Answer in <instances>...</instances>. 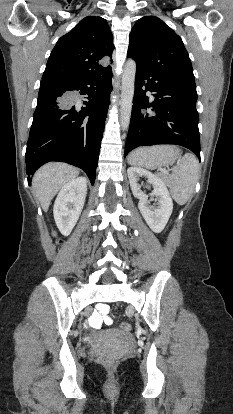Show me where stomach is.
<instances>
[{"label": "stomach", "mask_w": 233, "mask_h": 414, "mask_svg": "<svg viewBox=\"0 0 233 414\" xmlns=\"http://www.w3.org/2000/svg\"><path fill=\"white\" fill-rule=\"evenodd\" d=\"M179 156V150L172 146H153L138 149L134 158L143 167L156 169L172 165Z\"/></svg>", "instance_id": "stomach-1"}]
</instances>
